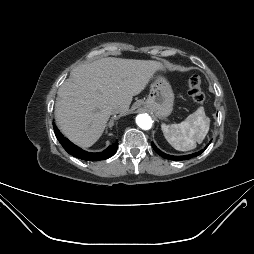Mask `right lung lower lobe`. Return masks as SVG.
Segmentation results:
<instances>
[{
	"mask_svg": "<svg viewBox=\"0 0 254 254\" xmlns=\"http://www.w3.org/2000/svg\"><path fill=\"white\" fill-rule=\"evenodd\" d=\"M54 125V132L61 143L62 147L72 156L87 160V161H99V160H105L110 158L115 154L117 151V146H118V141H116L114 144L110 145L107 149H105L103 152H98V153H91V152H86L82 150L81 148L77 147L73 143H71L67 138H65L60 131L57 129V127Z\"/></svg>",
	"mask_w": 254,
	"mask_h": 254,
	"instance_id": "obj_1",
	"label": "right lung lower lobe"
}]
</instances>
